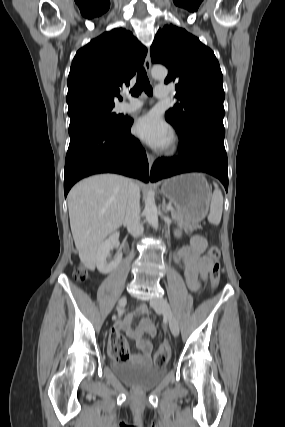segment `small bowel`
Listing matches in <instances>:
<instances>
[{
	"label": "small bowel",
	"mask_w": 285,
	"mask_h": 427,
	"mask_svg": "<svg viewBox=\"0 0 285 427\" xmlns=\"http://www.w3.org/2000/svg\"><path fill=\"white\" fill-rule=\"evenodd\" d=\"M207 241L202 236H193L188 245L182 247L175 256V262H182L184 265V276L189 288L197 291L200 287V281L205 279L211 267V259L205 255ZM148 309L142 305L133 313L127 314L122 320L118 321L111 331V336H120L123 330L136 342L139 352L129 353L126 362H144L148 363L153 352V345L148 337L157 334L156 326L151 319L146 316ZM134 316H141L135 328L131 326ZM110 336V337H111Z\"/></svg>",
	"instance_id": "c3829d8e"
}]
</instances>
